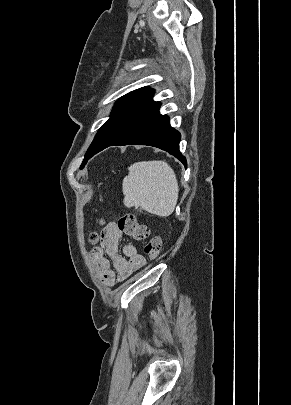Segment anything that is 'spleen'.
Listing matches in <instances>:
<instances>
[{
  "instance_id": "obj_1",
  "label": "spleen",
  "mask_w": 291,
  "mask_h": 405,
  "mask_svg": "<svg viewBox=\"0 0 291 405\" xmlns=\"http://www.w3.org/2000/svg\"><path fill=\"white\" fill-rule=\"evenodd\" d=\"M123 179L126 207H140L160 217L171 215L178 200L179 186L173 169L165 161L136 162Z\"/></svg>"
}]
</instances>
